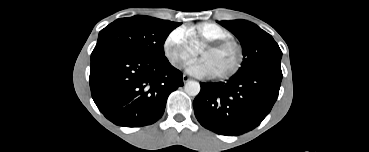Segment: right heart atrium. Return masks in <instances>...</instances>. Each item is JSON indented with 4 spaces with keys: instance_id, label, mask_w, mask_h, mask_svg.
Listing matches in <instances>:
<instances>
[{
    "instance_id": "d8ad5b80",
    "label": "right heart atrium",
    "mask_w": 369,
    "mask_h": 152,
    "mask_svg": "<svg viewBox=\"0 0 369 152\" xmlns=\"http://www.w3.org/2000/svg\"><path fill=\"white\" fill-rule=\"evenodd\" d=\"M163 51L169 63L178 69L197 54L183 28H176L167 35L163 43Z\"/></svg>"
}]
</instances>
